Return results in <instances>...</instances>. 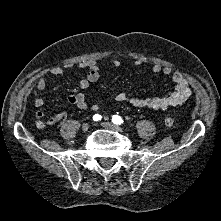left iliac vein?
<instances>
[{"instance_id": "4c4485c4", "label": "left iliac vein", "mask_w": 221, "mask_h": 221, "mask_svg": "<svg viewBox=\"0 0 221 221\" xmlns=\"http://www.w3.org/2000/svg\"><path fill=\"white\" fill-rule=\"evenodd\" d=\"M102 126L104 128H106L107 130H110V131H117V132H120V133L123 132V129L120 126H118L114 123H111V122H103Z\"/></svg>"}]
</instances>
